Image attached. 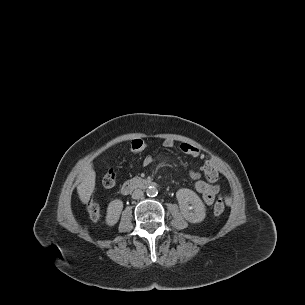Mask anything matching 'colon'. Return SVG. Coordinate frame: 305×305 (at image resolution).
<instances>
[{"label": "colon", "instance_id": "obj_1", "mask_svg": "<svg viewBox=\"0 0 305 305\" xmlns=\"http://www.w3.org/2000/svg\"><path fill=\"white\" fill-rule=\"evenodd\" d=\"M148 147V143L143 138H135L130 142V151L134 154H141L144 152ZM116 183V175L114 171L110 170L107 172L102 180V184L105 188H111ZM225 208V204L222 197H218L214 206L213 212L215 215H220ZM88 215L91 220L97 222L102 218V210L100 206L95 202H91L88 206Z\"/></svg>", "mask_w": 305, "mask_h": 305}]
</instances>
